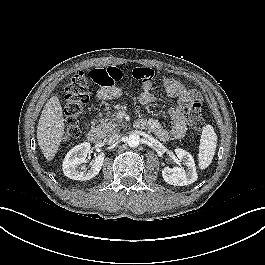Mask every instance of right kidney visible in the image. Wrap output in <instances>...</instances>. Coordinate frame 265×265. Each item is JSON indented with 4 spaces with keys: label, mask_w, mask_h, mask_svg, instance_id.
<instances>
[{
    "label": "right kidney",
    "mask_w": 265,
    "mask_h": 265,
    "mask_svg": "<svg viewBox=\"0 0 265 265\" xmlns=\"http://www.w3.org/2000/svg\"><path fill=\"white\" fill-rule=\"evenodd\" d=\"M90 147L89 142H84L73 147L66 154L62 165L65 176L73 180L85 181L92 179L100 172L104 161V154H100L92 160L89 169L85 166L80 167V165L86 162V156Z\"/></svg>",
    "instance_id": "ca27d5eb"
}]
</instances>
